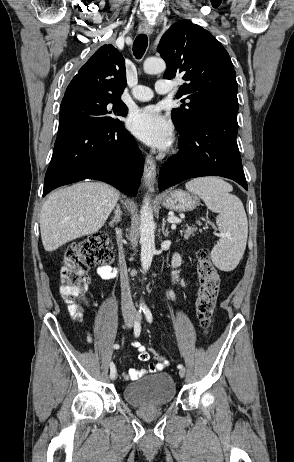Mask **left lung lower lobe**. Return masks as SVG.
<instances>
[{"label":"left lung lower lobe","instance_id":"left-lung-lower-lobe-1","mask_svg":"<svg viewBox=\"0 0 294 462\" xmlns=\"http://www.w3.org/2000/svg\"><path fill=\"white\" fill-rule=\"evenodd\" d=\"M238 107L222 105L210 109L190 130L180 134V152L161 168V190L186 179L221 176L248 190L236 143Z\"/></svg>","mask_w":294,"mask_h":462}]
</instances>
